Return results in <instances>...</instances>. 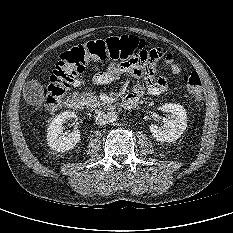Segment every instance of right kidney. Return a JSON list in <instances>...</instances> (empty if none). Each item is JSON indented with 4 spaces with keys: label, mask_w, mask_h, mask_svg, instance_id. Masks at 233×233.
<instances>
[{
    "label": "right kidney",
    "mask_w": 233,
    "mask_h": 233,
    "mask_svg": "<svg viewBox=\"0 0 233 233\" xmlns=\"http://www.w3.org/2000/svg\"><path fill=\"white\" fill-rule=\"evenodd\" d=\"M69 119H77V115L72 111H65L57 115L50 123L47 129V142L52 150L66 152L80 141V132L76 127L69 134L63 133V125Z\"/></svg>",
    "instance_id": "obj_1"
}]
</instances>
